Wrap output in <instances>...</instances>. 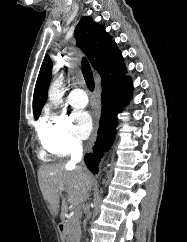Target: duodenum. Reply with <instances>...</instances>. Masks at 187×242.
Listing matches in <instances>:
<instances>
[{
    "label": "duodenum",
    "mask_w": 187,
    "mask_h": 242,
    "mask_svg": "<svg viewBox=\"0 0 187 242\" xmlns=\"http://www.w3.org/2000/svg\"><path fill=\"white\" fill-rule=\"evenodd\" d=\"M58 232L60 236H63L65 234V223L60 222L57 226Z\"/></svg>",
    "instance_id": "1"
}]
</instances>
